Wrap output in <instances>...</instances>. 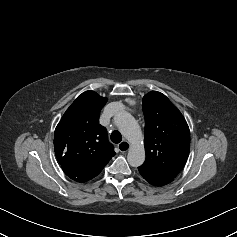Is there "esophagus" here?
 <instances>
[{"label": "esophagus", "mask_w": 237, "mask_h": 237, "mask_svg": "<svg viewBox=\"0 0 237 237\" xmlns=\"http://www.w3.org/2000/svg\"><path fill=\"white\" fill-rule=\"evenodd\" d=\"M130 144L127 141H122L118 144V149L120 152L125 153L129 150Z\"/></svg>", "instance_id": "esophagus-1"}]
</instances>
